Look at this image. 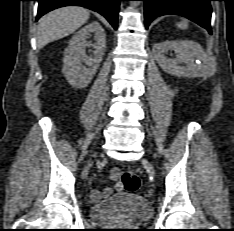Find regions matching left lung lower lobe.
<instances>
[{
	"label": "left lung lower lobe",
	"mask_w": 234,
	"mask_h": 231,
	"mask_svg": "<svg viewBox=\"0 0 234 231\" xmlns=\"http://www.w3.org/2000/svg\"><path fill=\"white\" fill-rule=\"evenodd\" d=\"M145 2V27L156 18L167 14L186 17L211 33V5L213 0H141Z\"/></svg>",
	"instance_id": "left-lung-lower-lobe-1"
}]
</instances>
